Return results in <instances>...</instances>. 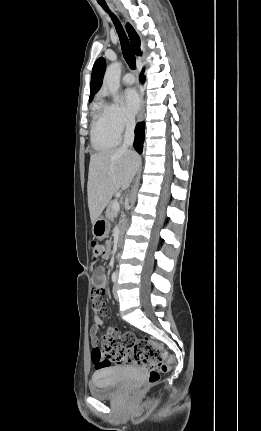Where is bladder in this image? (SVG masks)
Returning a JSON list of instances; mask_svg holds the SVG:
<instances>
[{"mask_svg": "<svg viewBox=\"0 0 261 431\" xmlns=\"http://www.w3.org/2000/svg\"><path fill=\"white\" fill-rule=\"evenodd\" d=\"M125 369L103 368L93 373L89 382L90 394L98 399H110L119 394L125 380Z\"/></svg>", "mask_w": 261, "mask_h": 431, "instance_id": "31cf9c89", "label": "bladder"}]
</instances>
